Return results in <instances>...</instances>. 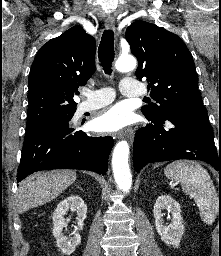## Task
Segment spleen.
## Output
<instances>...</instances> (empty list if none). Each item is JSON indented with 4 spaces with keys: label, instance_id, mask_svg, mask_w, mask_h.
Returning a JSON list of instances; mask_svg holds the SVG:
<instances>
[{
    "label": "spleen",
    "instance_id": "1",
    "mask_svg": "<svg viewBox=\"0 0 221 256\" xmlns=\"http://www.w3.org/2000/svg\"><path fill=\"white\" fill-rule=\"evenodd\" d=\"M167 178L181 183L184 193L194 197L202 220L212 224L219 210L218 193L208 172L192 161H174L164 169Z\"/></svg>",
    "mask_w": 221,
    "mask_h": 256
}]
</instances>
